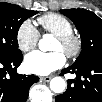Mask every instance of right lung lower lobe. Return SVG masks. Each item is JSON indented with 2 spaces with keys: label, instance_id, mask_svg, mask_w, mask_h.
I'll use <instances>...</instances> for the list:
<instances>
[{
  "label": "right lung lower lobe",
  "instance_id": "98d812e1",
  "mask_svg": "<svg viewBox=\"0 0 102 102\" xmlns=\"http://www.w3.org/2000/svg\"><path fill=\"white\" fill-rule=\"evenodd\" d=\"M22 59V53L12 57H0V96H2V102H26L31 85L39 80L37 76H25L16 72Z\"/></svg>",
  "mask_w": 102,
  "mask_h": 102
}]
</instances>
